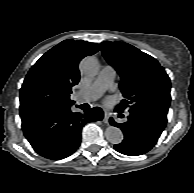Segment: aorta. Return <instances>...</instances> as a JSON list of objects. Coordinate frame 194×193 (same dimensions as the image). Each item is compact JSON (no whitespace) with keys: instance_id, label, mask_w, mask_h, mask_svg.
<instances>
[{"instance_id":"obj_1","label":"aorta","mask_w":194,"mask_h":193,"mask_svg":"<svg viewBox=\"0 0 194 193\" xmlns=\"http://www.w3.org/2000/svg\"><path fill=\"white\" fill-rule=\"evenodd\" d=\"M80 69L86 76H95L99 71V62L93 56L85 57L80 63ZM105 136L112 144H120L123 140L122 131L115 126H108L105 131Z\"/></svg>"}]
</instances>
